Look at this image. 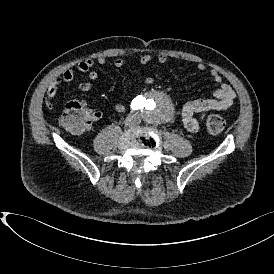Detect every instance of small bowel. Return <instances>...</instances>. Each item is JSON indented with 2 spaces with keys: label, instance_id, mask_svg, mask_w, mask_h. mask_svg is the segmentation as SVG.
Wrapping results in <instances>:
<instances>
[{
  "label": "small bowel",
  "instance_id": "c3829d8e",
  "mask_svg": "<svg viewBox=\"0 0 274 274\" xmlns=\"http://www.w3.org/2000/svg\"><path fill=\"white\" fill-rule=\"evenodd\" d=\"M154 56L145 54L140 58V64L145 67L149 65ZM156 60L165 64L168 61V56L161 53L156 57ZM104 66L107 60L104 57H99L96 60L86 59L79 62L75 68L64 71L60 76L56 77L49 85L47 96L53 100L57 94L60 84L71 82L76 73L86 74L88 81L80 82L79 89L82 91H90L94 87V83L99 79V73L93 69L94 65ZM125 61L122 58H116L113 61L115 68H122ZM196 68L199 72L207 71L203 63H197ZM210 79L218 86L213 92L212 96L204 99H196L185 103L180 111V118L184 128L192 133L199 131L201 123L207 113L212 111L225 112L230 110L235 99V91L226 83L223 82L222 76L215 70H209ZM145 85H153L155 79L153 77H146L143 80ZM51 100H46L42 104V109L46 113H51L55 109V104ZM115 110L119 113L125 111L123 104H116ZM103 119V113L99 110H92L85 114L84 122L77 128L71 130L75 134H82L92 128L93 125L99 123Z\"/></svg>",
  "mask_w": 274,
  "mask_h": 274
}]
</instances>
